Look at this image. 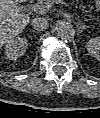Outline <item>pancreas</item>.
<instances>
[{
	"label": "pancreas",
	"mask_w": 100,
	"mask_h": 118,
	"mask_svg": "<svg viewBox=\"0 0 100 118\" xmlns=\"http://www.w3.org/2000/svg\"><path fill=\"white\" fill-rule=\"evenodd\" d=\"M48 2L56 3L57 0H47Z\"/></svg>",
	"instance_id": "obj_1"
}]
</instances>
